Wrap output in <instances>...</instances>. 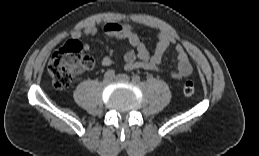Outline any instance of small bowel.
I'll return each mask as SVG.
<instances>
[{"mask_svg": "<svg viewBox=\"0 0 259 156\" xmlns=\"http://www.w3.org/2000/svg\"><path fill=\"white\" fill-rule=\"evenodd\" d=\"M102 30L104 34L109 37L127 40L131 46L130 50L124 55L126 70L143 69L159 71L166 50L171 45H175L177 67L172 71V77L180 80L188 77L192 73V65L184 47L176 43L175 38L168 32L162 31L159 33L156 47L154 51L150 53L135 32L134 26L130 24L107 23ZM97 33L98 28L96 26H88L83 30H74L71 33V38L78 40L82 36H95ZM83 48L88 51L90 50V45L86 43L83 45ZM112 63L113 60L111 57L106 56L102 59L104 66H110Z\"/></svg>", "mask_w": 259, "mask_h": 156, "instance_id": "obj_1", "label": "small bowel"}]
</instances>
